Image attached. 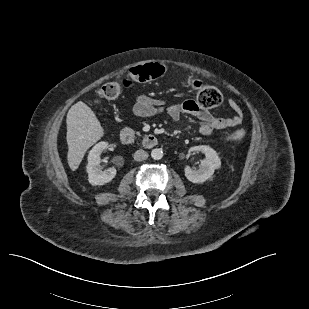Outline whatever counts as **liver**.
<instances>
[{
    "label": "liver",
    "mask_w": 309,
    "mask_h": 309,
    "mask_svg": "<svg viewBox=\"0 0 309 309\" xmlns=\"http://www.w3.org/2000/svg\"><path fill=\"white\" fill-rule=\"evenodd\" d=\"M67 161L70 169L76 171L86 153L103 135L95 113L84 102L79 101L67 113Z\"/></svg>",
    "instance_id": "1"
}]
</instances>
